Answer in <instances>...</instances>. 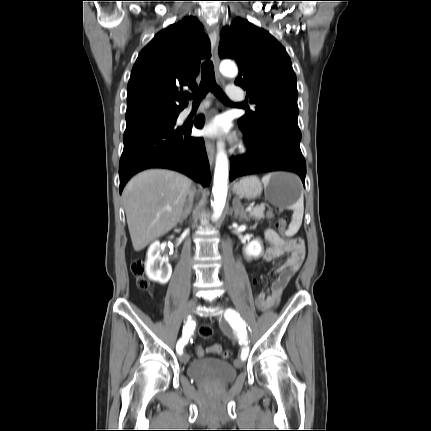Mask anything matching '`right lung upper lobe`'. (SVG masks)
Instances as JSON below:
<instances>
[{
  "label": "right lung upper lobe",
  "mask_w": 431,
  "mask_h": 431,
  "mask_svg": "<svg viewBox=\"0 0 431 431\" xmlns=\"http://www.w3.org/2000/svg\"><path fill=\"white\" fill-rule=\"evenodd\" d=\"M208 39L193 17L163 29L142 49L127 86L126 122L180 112L188 102L185 87L195 89Z\"/></svg>",
  "instance_id": "right-lung-upper-lobe-1"
}]
</instances>
